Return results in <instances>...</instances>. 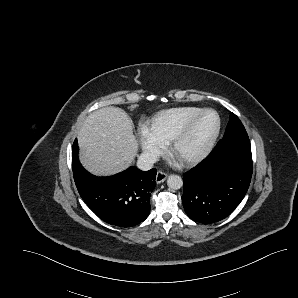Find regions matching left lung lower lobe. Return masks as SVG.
I'll return each instance as SVG.
<instances>
[{
  "instance_id": "left-lung-lower-lobe-1",
  "label": "left lung lower lobe",
  "mask_w": 298,
  "mask_h": 298,
  "mask_svg": "<svg viewBox=\"0 0 298 298\" xmlns=\"http://www.w3.org/2000/svg\"><path fill=\"white\" fill-rule=\"evenodd\" d=\"M252 177V154L246 130L225 134L200 164L184 174L186 214L210 224L226 218L242 201Z\"/></svg>"
}]
</instances>
